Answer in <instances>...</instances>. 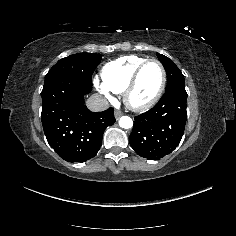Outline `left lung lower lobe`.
Wrapping results in <instances>:
<instances>
[{"mask_svg":"<svg viewBox=\"0 0 236 236\" xmlns=\"http://www.w3.org/2000/svg\"><path fill=\"white\" fill-rule=\"evenodd\" d=\"M186 102L184 85L171 87L152 109L135 117L129 143L139 156L157 160L178 146L187 119Z\"/></svg>","mask_w":236,"mask_h":236,"instance_id":"left-lung-lower-lobe-1","label":"left lung lower lobe"}]
</instances>
